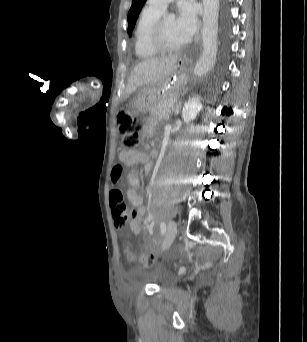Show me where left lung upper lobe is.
Listing matches in <instances>:
<instances>
[{"label":"left lung upper lobe","mask_w":307,"mask_h":342,"mask_svg":"<svg viewBox=\"0 0 307 342\" xmlns=\"http://www.w3.org/2000/svg\"><path fill=\"white\" fill-rule=\"evenodd\" d=\"M146 0H132V6L128 12V34L131 32L135 26L138 15L144 5Z\"/></svg>","instance_id":"left-lung-upper-lobe-1"}]
</instances>
